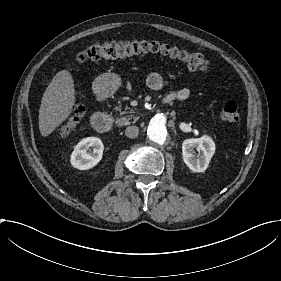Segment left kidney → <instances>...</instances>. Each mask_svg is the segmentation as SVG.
<instances>
[{
    "label": "left kidney",
    "mask_w": 281,
    "mask_h": 281,
    "mask_svg": "<svg viewBox=\"0 0 281 281\" xmlns=\"http://www.w3.org/2000/svg\"><path fill=\"white\" fill-rule=\"evenodd\" d=\"M195 149L198 155L195 154ZM215 150L213 141L210 138H190L182 144L183 160L187 167L193 172H204L209 164Z\"/></svg>",
    "instance_id": "5707ae66"
}]
</instances>
